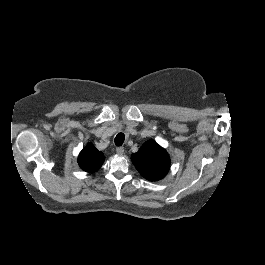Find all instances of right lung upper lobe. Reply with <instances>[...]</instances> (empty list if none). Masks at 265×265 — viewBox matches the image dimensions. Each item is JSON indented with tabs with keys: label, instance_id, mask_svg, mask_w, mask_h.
<instances>
[{
	"label": "right lung upper lobe",
	"instance_id": "right-lung-upper-lobe-1",
	"mask_svg": "<svg viewBox=\"0 0 265 265\" xmlns=\"http://www.w3.org/2000/svg\"><path fill=\"white\" fill-rule=\"evenodd\" d=\"M103 153L99 152L92 144H88L79 154V166L86 172H95L103 164Z\"/></svg>",
	"mask_w": 265,
	"mask_h": 265
}]
</instances>
